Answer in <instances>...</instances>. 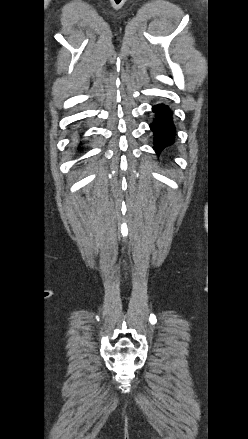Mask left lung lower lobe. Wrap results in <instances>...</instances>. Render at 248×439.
I'll use <instances>...</instances> for the list:
<instances>
[{"mask_svg":"<svg viewBox=\"0 0 248 439\" xmlns=\"http://www.w3.org/2000/svg\"><path fill=\"white\" fill-rule=\"evenodd\" d=\"M155 114L150 128L154 133V150L159 155L166 147L175 142L176 130L173 123V113L169 106L157 104L153 106Z\"/></svg>","mask_w":248,"mask_h":439,"instance_id":"left-lung-lower-lobe-1","label":"left lung lower lobe"}]
</instances>
